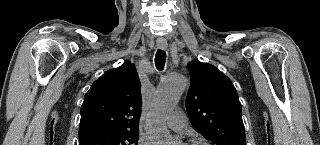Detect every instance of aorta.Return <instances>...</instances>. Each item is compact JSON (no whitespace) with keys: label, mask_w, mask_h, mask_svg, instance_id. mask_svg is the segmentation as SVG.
<instances>
[{"label":"aorta","mask_w":320,"mask_h":145,"mask_svg":"<svg viewBox=\"0 0 320 145\" xmlns=\"http://www.w3.org/2000/svg\"><path fill=\"white\" fill-rule=\"evenodd\" d=\"M187 84L181 74L165 77L152 101L146 123V133L152 145H174L165 124L167 116L176 107Z\"/></svg>","instance_id":"1"}]
</instances>
